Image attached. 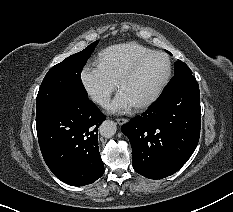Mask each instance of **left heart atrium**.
Returning <instances> with one entry per match:
<instances>
[{
    "instance_id": "obj_1",
    "label": "left heart atrium",
    "mask_w": 233,
    "mask_h": 212,
    "mask_svg": "<svg viewBox=\"0 0 233 212\" xmlns=\"http://www.w3.org/2000/svg\"><path fill=\"white\" fill-rule=\"evenodd\" d=\"M133 106V103L127 97V95L123 91H119L109 105V109L112 112L123 113L130 110Z\"/></svg>"
}]
</instances>
